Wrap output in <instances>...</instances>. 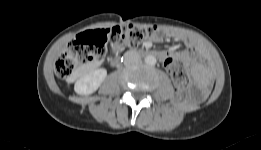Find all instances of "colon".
<instances>
[{
    "mask_svg": "<svg viewBox=\"0 0 261 150\" xmlns=\"http://www.w3.org/2000/svg\"><path fill=\"white\" fill-rule=\"evenodd\" d=\"M156 33L154 26H115L110 29H97L80 34L71 42L58 58L55 65L56 76L62 80L69 79L79 67L98 61L106 51L108 41L126 48L137 46L146 38ZM167 70L178 87L189 82L186 64L177 59L167 62Z\"/></svg>",
    "mask_w": 261,
    "mask_h": 150,
    "instance_id": "1",
    "label": "colon"
}]
</instances>
